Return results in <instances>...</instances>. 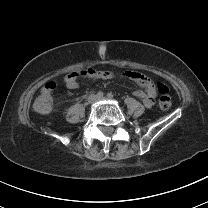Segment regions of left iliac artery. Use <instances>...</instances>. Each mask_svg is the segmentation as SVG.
Masks as SVG:
<instances>
[{
  "mask_svg": "<svg viewBox=\"0 0 208 208\" xmlns=\"http://www.w3.org/2000/svg\"><path fill=\"white\" fill-rule=\"evenodd\" d=\"M107 97L112 99L114 97V95L110 92V93L107 94Z\"/></svg>",
  "mask_w": 208,
  "mask_h": 208,
  "instance_id": "left-iliac-artery-1",
  "label": "left iliac artery"
}]
</instances>
